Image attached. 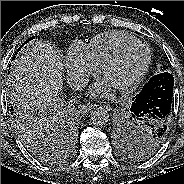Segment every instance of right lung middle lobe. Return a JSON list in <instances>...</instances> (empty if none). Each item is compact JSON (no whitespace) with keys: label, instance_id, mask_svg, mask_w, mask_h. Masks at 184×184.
I'll list each match as a JSON object with an SVG mask.
<instances>
[{"label":"right lung middle lobe","instance_id":"dd1d6c3e","mask_svg":"<svg viewBox=\"0 0 184 184\" xmlns=\"http://www.w3.org/2000/svg\"><path fill=\"white\" fill-rule=\"evenodd\" d=\"M34 36L26 40L18 49L32 40ZM14 59V58H13ZM11 111L14 117L17 131L27 148L43 162H54V157L48 153V140L57 136L61 128V115L57 111H51L46 116H37L35 110L25 107L19 102Z\"/></svg>","mask_w":184,"mask_h":184}]
</instances>
